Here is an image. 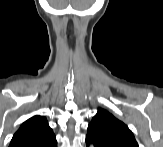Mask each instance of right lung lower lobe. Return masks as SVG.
Masks as SVG:
<instances>
[{
	"label": "right lung lower lobe",
	"mask_w": 163,
	"mask_h": 147,
	"mask_svg": "<svg viewBox=\"0 0 163 147\" xmlns=\"http://www.w3.org/2000/svg\"><path fill=\"white\" fill-rule=\"evenodd\" d=\"M11 147H57V141L56 138L54 137L47 141L23 142Z\"/></svg>",
	"instance_id": "right-lung-lower-lobe-1"
}]
</instances>
